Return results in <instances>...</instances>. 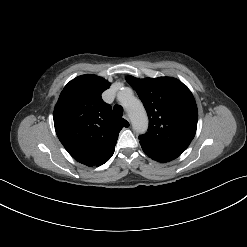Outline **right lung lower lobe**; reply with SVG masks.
<instances>
[{
    "mask_svg": "<svg viewBox=\"0 0 247 247\" xmlns=\"http://www.w3.org/2000/svg\"><path fill=\"white\" fill-rule=\"evenodd\" d=\"M115 147V146H114ZM112 148L108 153H107V155L97 164V165H95V166H100V165H102V164H104L105 162H107L110 158H111V156L113 155V153H114V150H115V148Z\"/></svg>",
    "mask_w": 247,
    "mask_h": 247,
    "instance_id": "right-lung-lower-lobe-1",
    "label": "right lung lower lobe"
}]
</instances>
